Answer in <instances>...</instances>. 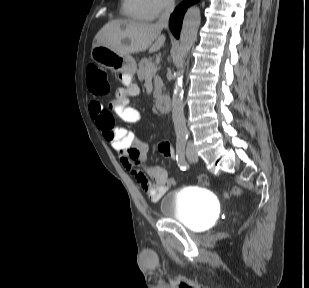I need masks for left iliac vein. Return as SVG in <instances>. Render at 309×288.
I'll return each mask as SVG.
<instances>
[{"label":"left iliac vein","mask_w":309,"mask_h":288,"mask_svg":"<svg viewBox=\"0 0 309 288\" xmlns=\"http://www.w3.org/2000/svg\"><path fill=\"white\" fill-rule=\"evenodd\" d=\"M187 158L191 161V162H196L198 160L197 154L195 152V150L193 149V147H189L188 151H187Z\"/></svg>","instance_id":"4c4485c4"}]
</instances>
